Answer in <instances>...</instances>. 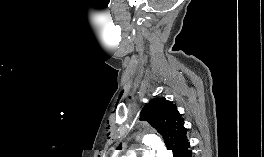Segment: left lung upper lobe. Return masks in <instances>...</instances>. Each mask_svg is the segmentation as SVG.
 Segmentation results:
<instances>
[{
	"instance_id": "obj_1",
	"label": "left lung upper lobe",
	"mask_w": 264,
	"mask_h": 157,
	"mask_svg": "<svg viewBox=\"0 0 264 157\" xmlns=\"http://www.w3.org/2000/svg\"><path fill=\"white\" fill-rule=\"evenodd\" d=\"M141 120L148 121L161 134L169 150L187 139L184 119L176 105L165 98L152 99L141 111Z\"/></svg>"
}]
</instances>
